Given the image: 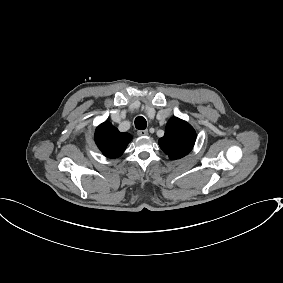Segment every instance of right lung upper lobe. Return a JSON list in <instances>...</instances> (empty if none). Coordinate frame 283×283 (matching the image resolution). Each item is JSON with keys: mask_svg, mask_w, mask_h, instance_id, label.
<instances>
[{"mask_svg": "<svg viewBox=\"0 0 283 283\" xmlns=\"http://www.w3.org/2000/svg\"><path fill=\"white\" fill-rule=\"evenodd\" d=\"M131 139L132 136L130 134L119 132L109 122L99 125L95 132V142L108 158L120 157Z\"/></svg>", "mask_w": 283, "mask_h": 283, "instance_id": "obj_1", "label": "right lung upper lobe"}]
</instances>
